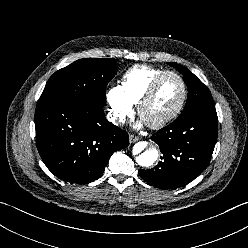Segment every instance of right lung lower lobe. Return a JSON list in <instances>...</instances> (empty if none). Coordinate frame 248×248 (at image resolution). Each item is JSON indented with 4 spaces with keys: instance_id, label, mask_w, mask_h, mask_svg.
<instances>
[{
    "instance_id": "right-lung-lower-lobe-1",
    "label": "right lung lower lobe",
    "mask_w": 248,
    "mask_h": 248,
    "mask_svg": "<svg viewBox=\"0 0 248 248\" xmlns=\"http://www.w3.org/2000/svg\"><path fill=\"white\" fill-rule=\"evenodd\" d=\"M35 129L43 162L69 183L94 181L111 155L128 146V133L108 122L103 109L89 110L68 102L38 103Z\"/></svg>"
}]
</instances>
